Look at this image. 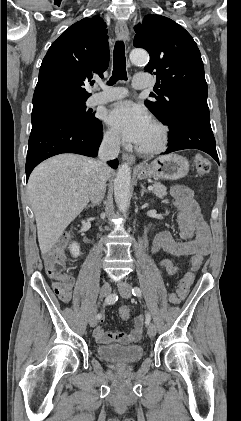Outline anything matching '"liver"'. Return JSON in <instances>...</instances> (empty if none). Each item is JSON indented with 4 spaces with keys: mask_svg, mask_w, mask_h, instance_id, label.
<instances>
[{
    "mask_svg": "<svg viewBox=\"0 0 241 421\" xmlns=\"http://www.w3.org/2000/svg\"><path fill=\"white\" fill-rule=\"evenodd\" d=\"M93 173L94 160L77 154L49 158L31 173L28 195L42 254L51 250L88 204ZM111 173L108 169L106 177Z\"/></svg>",
    "mask_w": 241,
    "mask_h": 421,
    "instance_id": "6515ba94",
    "label": "liver"
}]
</instances>
